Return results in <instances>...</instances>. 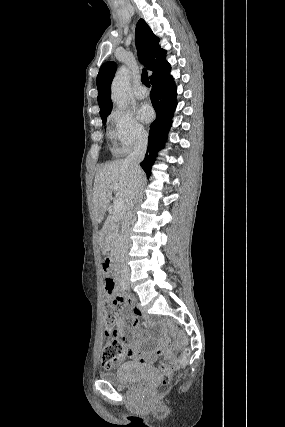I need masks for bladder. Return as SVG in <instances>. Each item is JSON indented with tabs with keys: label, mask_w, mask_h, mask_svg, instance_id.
Here are the masks:
<instances>
[{
	"label": "bladder",
	"mask_w": 285,
	"mask_h": 427,
	"mask_svg": "<svg viewBox=\"0 0 285 427\" xmlns=\"http://www.w3.org/2000/svg\"><path fill=\"white\" fill-rule=\"evenodd\" d=\"M151 370L137 363H122L113 371H103L100 378L112 385L131 387L148 379Z\"/></svg>",
	"instance_id": "31cf9c89"
}]
</instances>
